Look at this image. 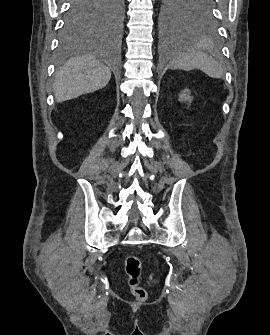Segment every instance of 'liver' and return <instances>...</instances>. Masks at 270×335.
I'll return each mask as SVG.
<instances>
[{"label":"liver","mask_w":270,"mask_h":335,"mask_svg":"<svg viewBox=\"0 0 270 335\" xmlns=\"http://www.w3.org/2000/svg\"><path fill=\"white\" fill-rule=\"evenodd\" d=\"M111 72L107 66L100 64L92 54L76 56L68 60L56 74L53 84L56 102L73 100L82 94H90L107 86Z\"/></svg>","instance_id":"obj_1"}]
</instances>
